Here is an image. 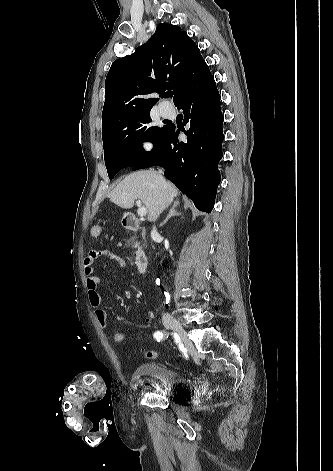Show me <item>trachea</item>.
I'll list each match as a JSON object with an SVG mask.
<instances>
[{
  "mask_svg": "<svg viewBox=\"0 0 333 471\" xmlns=\"http://www.w3.org/2000/svg\"><path fill=\"white\" fill-rule=\"evenodd\" d=\"M172 96H173V92H168L167 97H172Z\"/></svg>",
  "mask_w": 333,
  "mask_h": 471,
  "instance_id": "1",
  "label": "trachea"
}]
</instances>
